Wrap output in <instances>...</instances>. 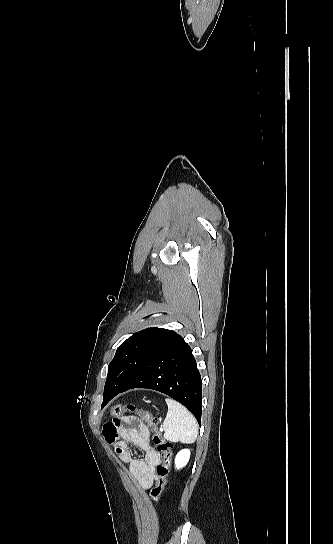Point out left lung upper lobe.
Returning a JSON list of instances; mask_svg holds the SVG:
<instances>
[{"mask_svg":"<svg viewBox=\"0 0 333 544\" xmlns=\"http://www.w3.org/2000/svg\"><path fill=\"white\" fill-rule=\"evenodd\" d=\"M175 335L172 330L148 328L126 339L108 366L104 392H115L123 388Z\"/></svg>","mask_w":333,"mask_h":544,"instance_id":"1","label":"left lung upper lobe"}]
</instances>
